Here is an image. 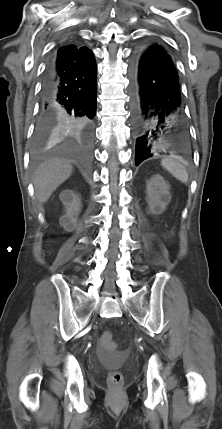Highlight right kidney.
I'll list each match as a JSON object with an SVG mask.
<instances>
[{"label": "right kidney", "mask_w": 222, "mask_h": 429, "mask_svg": "<svg viewBox=\"0 0 222 429\" xmlns=\"http://www.w3.org/2000/svg\"><path fill=\"white\" fill-rule=\"evenodd\" d=\"M59 197L65 206V214L61 216L59 223L66 231H72L77 226L78 216L81 212V199L72 190H63Z\"/></svg>", "instance_id": "right-kidney-1"}]
</instances>
